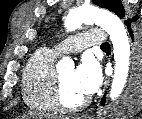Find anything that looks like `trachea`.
<instances>
[{"label": "trachea", "mask_w": 142, "mask_h": 119, "mask_svg": "<svg viewBox=\"0 0 142 119\" xmlns=\"http://www.w3.org/2000/svg\"><path fill=\"white\" fill-rule=\"evenodd\" d=\"M101 48H102V49L110 48V45H109V43H103V44L101 45Z\"/></svg>", "instance_id": "trachea-1"}]
</instances>
